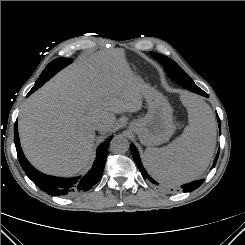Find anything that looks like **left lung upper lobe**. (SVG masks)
<instances>
[{
	"label": "left lung upper lobe",
	"instance_id": "obj_1",
	"mask_svg": "<svg viewBox=\"0 0 245 245\" xmlns=\"http://www.w3.org/2000/svg\"><path fill=\"white\" fill-rule=\"evenodd\" d=\"M150 54L156 58L162 65L165 67L168 75L174 80L177 81L178 78L186 81L190 86H195L193 80L181 69V67L174 62L172 59L156 53L150 52Z\"/></svg>",
	"mask_w": 245,
	"mask_h": 245
}]
</instances>
